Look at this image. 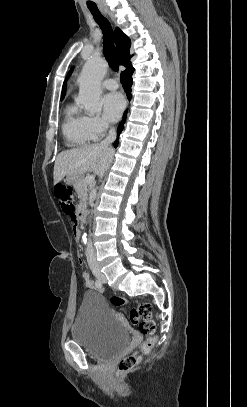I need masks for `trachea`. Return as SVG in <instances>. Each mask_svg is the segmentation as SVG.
Wrapping results in <instances>:
<instances>
[{
    "label": "trachea",
    "mask_w": 247,
    "mask_h": 407,
    "mask_svg": "<svg viewBox=\"0 0 247 407\" xmlns=\"http://www.w3.org/2000/svg\"><path fill=\"white\" fill-rule=\"evenodd\" d=\"M94 20L103 31V50L106 60L114 72L119 71V63L117 61V51L114 45L113 29L109 21L100 13L97 6H88Z\"/></svg>",
    "instance_id": "obj_1"
}]
</instances>
